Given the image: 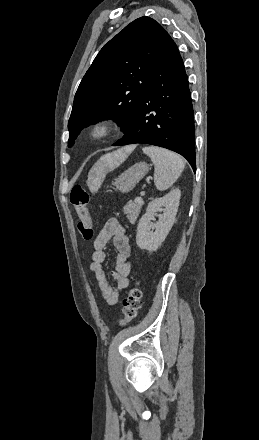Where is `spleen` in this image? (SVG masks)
I'll use <instances>...</instances> for the list:
<instances>
[{"label": "spleen", "mask_w": 259, "mask_h": 440, "mask_svg": "<svg viewBox=\"0 0 259 440\" xmlns=\"http://www.w3.org/2000/svg\"><path fill=\"white\" fill-rule=\"evenodd\" d=\"M143 152L148 155L154 163V182L159 191L170 188L179 178L184 170L185 163L183 159L160 147H144Z\"/></svg>", "instance_id": "obj_1"}]
</instances>
